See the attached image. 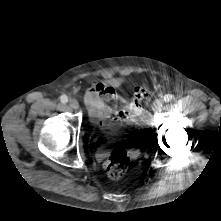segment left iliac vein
<instances>
[{"mask_svg":"<svg viewBox=\"0 0 221 221\" xmlns=\"http://www.w3.org/2000/svg\"><path fill=\"white\" fill-rule=\"evenodd\" d=\"M163 107V103L160 100H156L152 105V110L154 112H159Z\"/></svg>","mask_w":221,"mask_h":221,"instance_id":"4c4485c4","label":"left iliac vein"}]
</instances>
